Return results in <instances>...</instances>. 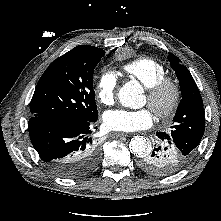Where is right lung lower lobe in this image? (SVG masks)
Returning a JSON list of instances; mask_svg holds the SVG:
<instances>
[{"label": "right lung lower lobe", "mask_w": 221, "mask_h": 221, "mask_svg": "<svg viewBox=\"0 0 221 221\" xmlns=\"http://www.w3.org/2000/svg\"><path fill=\"white\" fill-rule=\"evenodd\" d=\"M97 118L98 115L87 121L30 118L31 142L50 171L60 177L77 178L97 166L100 150L89 137Z\"/></svg>", "instance_id": "obj_1"}]
</instances>
